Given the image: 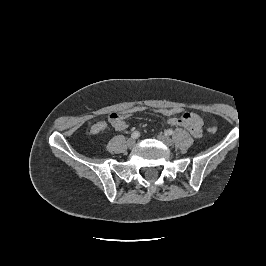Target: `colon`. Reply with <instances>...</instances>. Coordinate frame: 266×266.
I'll use <instances>...</instances> for the list:
<instances>
[{
  "label": "colon",
  "instance_id": "5ec220e1",
  "mask_svg": "<svg viewBox=\"0 0 266 266\" xmlns=\"http://www.w3.org/2000/svg\"><path fill=\"white\" fill-rule=\"evenodd\" d=\"M150 111L157 115L167 116V117H175L176 115L183 112V108L179 106L174 107H160V108H148L141 105L133 106L123 112L120 113H111L109 115V122L114 124L122 119L129 118L137 113ZM217 131V127L212 126L208 128V132L215 133Z\"/></svg>",
  "mask_w": 266,
  "mask_h": 266
}]
</instances>
